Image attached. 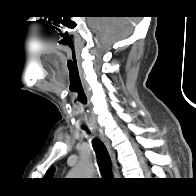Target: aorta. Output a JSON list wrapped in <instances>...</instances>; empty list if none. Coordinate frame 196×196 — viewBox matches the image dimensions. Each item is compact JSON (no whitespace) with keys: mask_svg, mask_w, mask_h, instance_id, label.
Wrapping results in <instances>:
<instances>
[{"mask_svg":"<svg viewBox=\"0 0 196 196\" xmlns=\"http://www.w3.org/2000/svg\"><path fill=\"white\" fill-rule=\"evenodd\" d=\"M93 170L92 164L89 161H80L78 165L71 170L70 178H87Z\"/></svg>","mask_w":196,"mask_h":196,"instance_id":"obj_1","label":"aorta"}]
</instances>
